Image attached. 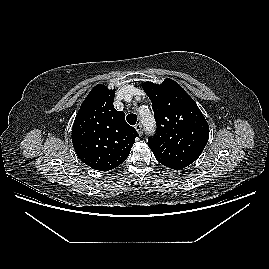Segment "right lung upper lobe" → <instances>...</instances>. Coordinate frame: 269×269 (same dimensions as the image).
<instances>
[{
	"mask_svg": "<svg viewBox=\"0 0 269 269\" xmlns=\"http://www.w3.org/2000/svg\"><path fill=\"white\" fill-rule=\"evenodd\" d=\"M115 90L96 85L79 109L72 128V142L83 163L109 171L128 157L138 136L125 121L123 111L113 106Z\"/></svg>",
	"mask_w": 269,
	"mask_h": 269,
	"instance_id": "obj_1",
	"label": "right lung upper lobe"
}]
</instances>
